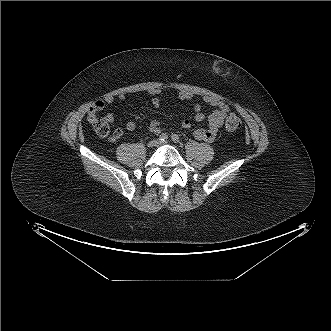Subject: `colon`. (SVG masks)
<instances>
[{
	"label": "colon",
	"mask_w": 331,
	"mask_h": 331,
	"mask_svg": "<svg viewBox=\"0 0 331 331\" xmlns=\"http://www.w3.org/2000/svg\"><path fill=\"white\" fill-rule=\"evenodd\" d=\"M88 119H89L90 124L93 126L96 133L100 137H102V138H111V136H110V127L107 124V122L99 119L96 116V114H89ZM225 126L229 131H235V130L240 128L241 121L236 115L230 114L226 118ZM117 134H118V132L115 131L114 137H116Z\"/></svg>",
	"instance_id": "colon-1"
}]
</instances>
